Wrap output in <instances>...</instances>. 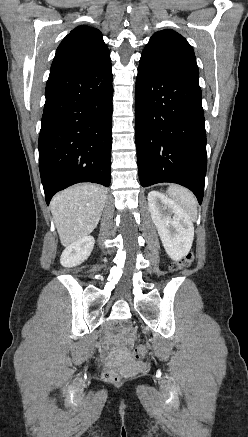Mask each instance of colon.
<instances>
[{
	"instance_id": "5ec220e1",
	"label": "colon",
	"mask_w": 248,
	"mask_h": 437,
	"mask_svg": "<svg viewBox=\"0 0 248 437\" xmlns=\"http://www.w3.org/2000/svg\"><path fill=\"white\" fill-rule=\"evenodd\" d=\"M193 255L188 254L180 262L171 266L172 271H177L181 268L189 267L192 264ZM147 354V346L145 344L137 345L133 350V356L136 360L143 359ZM103 377L106 382L117 385L122 380V375L115 369H106L103 373Z\"/></svg>"
}]
</instances>
